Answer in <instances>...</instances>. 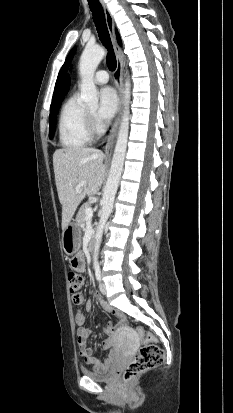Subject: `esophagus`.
<instances>
[{"label":"esophagus","instance_id":"obj_1","mask_svg":"<svg viewBox=\"0 0 233 413\" xmlns=\"http://www.w3.org/2000/svg\"><path fill=\"white\" fill-rule=\"evenodd\" d=\"M103 11L105 15V21L107 25V29L110 35V39L116 54V71H115V85L118 91V97H119V103H118V111H117V116L114 121V124L112 126V129L110 131V134L106 140V145H105V154L104 157L106 160H109L112 155V150H113V145L115 142V138L118 132V128L120 125L121 121V115H122V106H123V64L121 60V54H122V49L119 46L117 39H116V34H115V23H114V18L109 11L107 4L104 2V0H99Z\"/></svg>","mask_w":233,"mask_h":413}]
</instances>
